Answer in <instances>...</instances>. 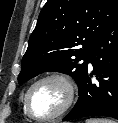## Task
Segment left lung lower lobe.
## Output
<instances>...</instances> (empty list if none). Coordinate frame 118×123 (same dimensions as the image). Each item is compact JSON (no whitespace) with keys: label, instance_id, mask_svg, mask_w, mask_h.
<instances>
[{"label":"left lung lower lobe","instance_id":"left-lung-lower-lobe-1","mask_svg":"<svg viewBox=\"0 0 118 123\" xmlns=\"http://www.w3.org/2000/svg\"><path fill=\"white\" fill-rule=\"evenodd\" d=\"M90 65L92 72L88 71ZM93 75L97 82L92 81ZM90 116L118 119V18L94 44L79 87V99L63 121Z\"/></svg>","mask_w":118,"mask_h":123}]
</instances>
